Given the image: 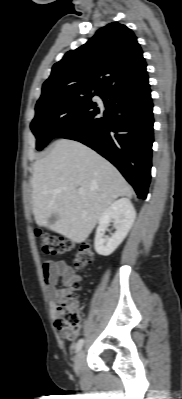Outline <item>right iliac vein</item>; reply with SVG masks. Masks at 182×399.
Listing matches in <instances>:
<instances>
[{
  "mask_svg": "<svg viewBox=\"0 0 182 399\" xmlns=\"http://www.w3.org/2000/svg\"><path fill=\"white\" fill-rule=\"evenodd\" d=\"M85 362V352L84 350H80L76 357H75V361H74V371L76 374H80V372L82 371L83 365Z\"/></svg>",
  "mask_w": 182,
  "mask_h": 399,
  "instance_id": "63e3f726",
  "label": "right iliac vein"
}]
</instances>
